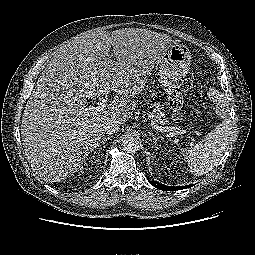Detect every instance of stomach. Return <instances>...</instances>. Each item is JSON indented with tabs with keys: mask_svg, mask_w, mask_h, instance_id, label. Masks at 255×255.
Masks as SVG:
<instances>
[{
	"mask_svg": "<svg viewBox=\"0 0 255 255\" xmlns=\"http://www.w3.org/2000/svg\"><path fill=\"white\" fill-rule=\"evenodd\" d=\"M191 63V54L186 45L174 43L159 61V82L167 93H172L185 77Z\"/></svg>",
	"mask_w": 255,
	"mask_h": 255,
	"instance_id": "0dacf381",
	"label": "stomach"
}]
</instances>
